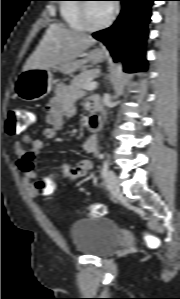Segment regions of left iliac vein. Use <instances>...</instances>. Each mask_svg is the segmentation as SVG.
Returning a JSON list of instances; mask_svg holds the SVG:
<instances>
[{
  "label": "left iliac vein",
  "instance_id": "left-iliac-vein-1",
  "mask_svg": "<svg viewBox=\"0 0 180 299\" xmlns=\"http://www.w3.org/2000/svg\"><path fill=\"white\" fill-rule=\"evenodd\" d=\"M105 184L109 192L113 196L120 194V186L116 175L112 171H108L105 176Z\"/></svg>",
  "mask_w": 180,
  "mask_h": 299
}]
</instances>
